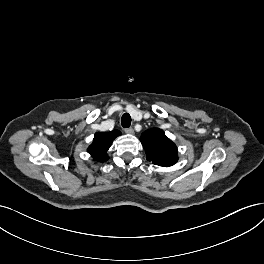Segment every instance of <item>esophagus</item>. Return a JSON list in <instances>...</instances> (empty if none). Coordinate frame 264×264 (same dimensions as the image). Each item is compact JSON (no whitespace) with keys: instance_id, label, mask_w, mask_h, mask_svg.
Here are the masks:
<instances>
[{"instance_id":"1","label":"esophagus","mask_w":264,"mask_h":264,"mask_svg":"<svg viewBox=\"0 0 264 264\" xmlns=\"http://www.w3.org/2000/svg\"><path fill=\"white\" fill-rule=\"evenodd\" d=\"M124 131H125V133H127V134H133V133H134V130H133L132 127H130V128H126Z\"/></svg>"}]
</instances>
